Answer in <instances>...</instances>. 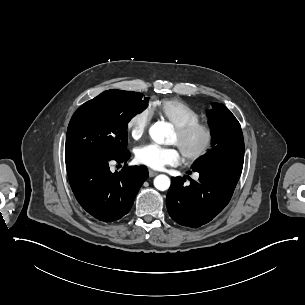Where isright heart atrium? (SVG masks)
<instances>
[{"mask_svg": "<svg viewBox=\"0 0 305 305\" xmlns=\"http://www.w3.org/2000/svg\"><path fill=\"white\" fill-rule=\"evenodd\" d=\"M150 120L151 112L148 108H142L131 115L126 124L130 137L139 140L144 135Z\"/></svg>", "mask_w": 305, "mask_h": 305, "instance_id": "right-heart-atrium-1", "label": "right heart atrium"}]
</instances>
